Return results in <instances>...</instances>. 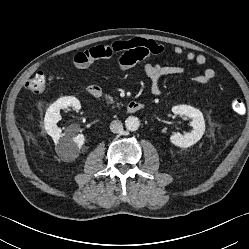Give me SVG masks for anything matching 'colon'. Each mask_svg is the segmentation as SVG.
I'll return each instance as SVG.
<instances>
[{"instance_id": "obj_1", "label": "colon", "mask_w": 249, "mask_h": 249, "mask_svg": "<svg viewBox=\"0 0 249 249\" xmlns=\"http://www.w3.org/2000/svg\"><path fill=\"white\" fill-rule=\"evenodd\" d=\"M26 88L35 94H41L46 88V76L43 73H37L26 82ZM232 111L241 115L245 111V105L242 99L234 98L231 102Z\"/></svg>"}]
</instances>
